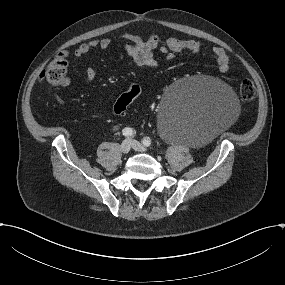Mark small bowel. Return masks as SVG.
<instances>
[{
	"label": "small bowel",
	"instance_id": "small-bowel-1",
	"mask_svg": "<svg viewBox=\"0 0 285 285\" xmlns=\"http://www.w3.org/2000/svg\"><path fill=\"white\" fill-rule=\"evenodd\" d=\"M118 38L125 40L124 50L128 56L127 64L139 69H152L158 65L155 57V51H159L167 60H172L177 54L182 52H190L199 54L202 51V44L197 40H182L178 38H168L162 42L157 34H151L147 38L136 34L124 33ZM112 38L92 39L89 42L80 44L74 50V56L82 58L93 49L105 50L112 44ZM212 53L216 58L218 68L221 72H228L230 69L229 57L222 47H213ZM96 76L93 67H87L85 73V82L91 83ZM44 74L41 76V80ZM70 79L64 77L58 84L59 88L64 89L70 85Z\"/></svg>",
	"mask_w": 285,
	"mask_h": 285
}]
</instances>
